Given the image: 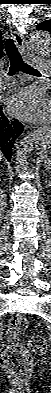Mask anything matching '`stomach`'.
Wrapping results in <instances>:
<instances>
[{
    "instance_id": "obj_1",
    "label": "stomach",
    "mask_w": 51,
    "mask_h": 393,
    "mask_svg": "<svg viewBox=\"0 0 51 393\" xmlns=\"http://www.w3.org/2000/svg\"><path fill=\"white\" fill-rule=\"evenodd\" d=\"M43 154L47 157L48 160H50V152L49 151H44Z\"/></svg>"
}]
</instances>
